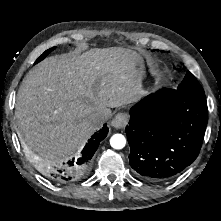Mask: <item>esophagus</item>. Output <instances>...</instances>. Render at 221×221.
Returning a JSON list of instances; mask_svg holds the SVG:
<instances>
[{
  "mask_svg": "<svg viewBox=\"0 0 221 221\" xmlns=\"http://www.w3.org/2000/svg\"><path fill=\"white\" fill-rule=\"evenodd\" d=\"M129 121V115L124 112H120L115 115V117L111 121V126L116 129L124 128Z\"/></svg>",
  "mask_w": 221,
  "mask_h": 221,
  "instance_id": "1",
  "label": "esophagus"
}]
</instances>
